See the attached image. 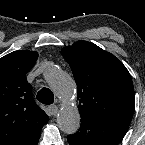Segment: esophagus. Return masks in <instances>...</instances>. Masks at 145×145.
<instances>
[{"instance_id": "obj_1", "label": "esophagus", "mask_w": 145, "mask_h": 145, "mask_svg": "<svg viewBox=\"0 0 145 145\" xmlns=\"http://www.w3.org/2000/svg\"><path fill=\"white\" fill-rule=\"evenodd\" d=\"M50 110H51V112H52L53 115H56L57 112H58V107H57V105H55V104L51 105V106H50Z\"/></svg>"}]
</instances>
